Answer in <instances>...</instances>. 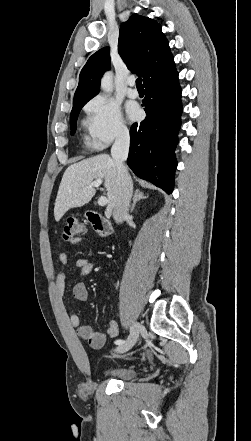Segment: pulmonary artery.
I'll list each match as a JSON object with an SVG mask.
<instances>
[{
	"label": "pulmonary artery",
	"instance_id": "e3ab8cb5",
	"mask_svg": "<svg viewBox=\"0 0 251 441\" xmlns=\"http://www.w3.org/2000/svg\"><path fill=\"white\" fill-rule=\"evenodd\" d=\"M128 85L129 88L127 90V94L130 98H137L138 97V91L135 88V79L133 77L128 79Z\"/></svg>",
	"mask_w": 251,
	"mask_h": 441
}]
</instances>
